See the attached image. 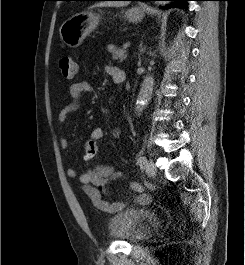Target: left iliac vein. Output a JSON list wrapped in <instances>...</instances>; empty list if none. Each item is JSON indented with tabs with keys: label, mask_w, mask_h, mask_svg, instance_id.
<instances>
[{
	"label": "left iliac vein",
	"mask_w": 245,
	"mask_h": 265,
	"mask_svg": "<svg viewBox=\"0 0 245 265\" xmlns=\"http://www.w3.org/2000/svg\"><path fill=\"white\" fill-rule=\"evenodd\" d=\"M146 172L149 176H155L157 172V168L152 160L146 162L145 165Z\"/></svg>",
	"instance_id": "4c4485c4"
}]
</instances>
